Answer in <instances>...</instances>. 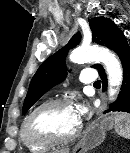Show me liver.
<instances>
[{
    "label": "liver",
    "instance_id": "liver-1",
    "mask_svg": "<svg viewBox=\"0 0 130 153\" xmlns=\"http://www.w3.org/2000/svg\"><path fill=\"white\" fill-rule=\"evenodd\" d=\"M58 153H69V150L65 149V150H61Z\"/></svg>",
    "mask_w": 130,
    "mask_h": 153
}]
</instances>
